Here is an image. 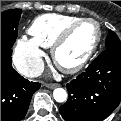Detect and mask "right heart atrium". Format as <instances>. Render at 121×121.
I'll list each match as a JSON object with an SVG mask.
<instances>
[{
  "mask_svg": "<svg viewBox=\"0 0 121 121\" xmlns=\"http://www.w3.org/2000/svg\"><path fill=\"white\" fill-rule=\"evenodd\" d=\"M44 52L32 39L21 36L15 43L13 63L27 77L38 74L43 68Z\"/></svg>",
  "mask_w": 121,
  "mask_h": 121,
  "instance_id": "d8ad5b80",
  "label": "right heart atrium"
}]
</instances>
